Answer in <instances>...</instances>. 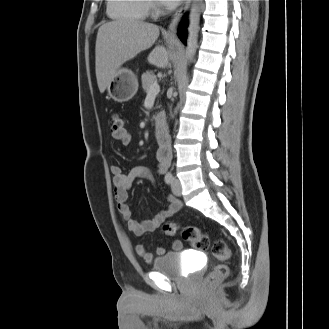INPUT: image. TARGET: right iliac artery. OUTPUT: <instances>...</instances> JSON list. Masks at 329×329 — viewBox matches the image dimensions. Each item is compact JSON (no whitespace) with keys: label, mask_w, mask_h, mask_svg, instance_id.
Listing matches in <instances>:
<instances>
[{"label":"right iliac artery","mask_w":329,"mask_h":329,"mask_svg":"<svg viewBox=\"0 0 329 329\" xmlns=\"http://www.w3.org/2000/svg\"><path fill=\"white\" fill-rule=\"evenodd\" d=\"M166 184H172L173 182V176L171 173H167L164 178Z\"/></svg>","instance_id":"1"}]
</instances>
